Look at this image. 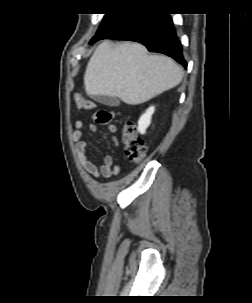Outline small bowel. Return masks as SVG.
Masks as SVG:
<instances>
[{"mask_svg": "<svg viewBox=\"0 0 252 303\" xmlns=\"http://www.w3.org/2000/svg\"><path fill=\"white\" fill-rule=\"evenodd\" d=\"M85 126L84 120H77L75 122V130L72 132V139L75 141V150L79 162L83 169L93 177H111L116 176L121 172V167L118 164H114L113 158L111 156H105L103 159V164L101 166L96 165L87 157V151L89 146L83 138L82 128ZM90 130L96 132L98 127L95 124L89 126ZM108 131L112 134L117 132V126L115 124H110L107 127ZM114 141L117 144L118 141L114 137Z\"/></svg>", "mask_w": 252, "mask_h": 303, "instance_id": "obj_1", "label": "small bowel"}]
</instances>
